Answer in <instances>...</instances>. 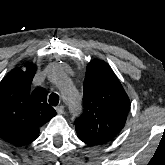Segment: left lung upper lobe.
Segmentation results:
<instances>
[{
    "label": "left lung upper lobe",
    "mask_w": 165,
    "mask_h": 165,
    "mask_svg": "<svg viewBox=\"0 0 165 165\" xmlns=\"http://www.w3.org/2000/svg\"><path fill=\"white\" fill-rule=\"evenodd\" d=\"M83 93V114L76 131L98 144L112 140L124 127L130 100L111 67L102 60L89 62Z\"/></svg>",
    "instance_id": "1"
}]
</instances>
